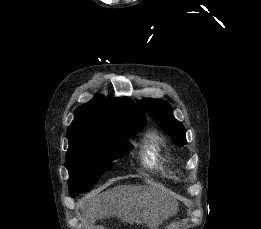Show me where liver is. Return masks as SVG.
<instances>
[{
  "instance_id": "obj_1",
  "label": "liver",
  "mask_w": 261,
  "mask_h": 229,
  "mask_svg": "<svg viewBox=\"0 0 261 229\" xmlns=\"http://www.w3.org/2000/svg\"><path fill=\"white\" fill-rule=\"evenodd\" d=\"M87 199H88V197H85V199H83V201H85L86 207H89V205L87 203ZM92 203H94V205H96V203H100V199H97V197H94V199H92ZM106 211H108V209H106Z\"/></svg>"
}]
</instances>
